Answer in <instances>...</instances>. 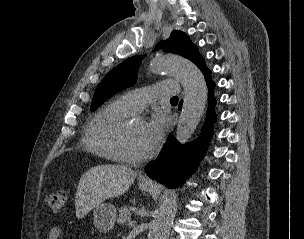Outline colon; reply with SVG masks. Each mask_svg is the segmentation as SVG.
<instances>
[{"label": "colon", "instance_id": "colon-1", "mask_svg": "<svg viewBox=\"0 0 304 239\" xmlns=\"http://www.w3.org/2000/svg\"><path fill=\"white\" fill-rule=\"evenodd\" d=\"M66 198V193L63 191L49 192L45 194L44 201L54 213H60L64 208Z\"/></svg>", "mask_w": 304, "mask_h": 239}]
</instances>
